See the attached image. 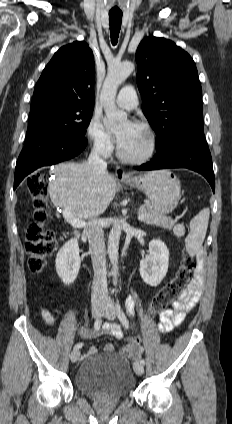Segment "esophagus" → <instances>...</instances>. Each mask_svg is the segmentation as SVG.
Returning a JSON list of instances; mask_svg holds the SVG:
<instances>
[{
    "mask_svg": "<svg viewBox=\"0 0 232 424\" xmlns=\"http://www.w3.org/2000/svg\"><path fill=\"white\" fill-rule=\"evenodd\" d=\"M115 176L117 179H129L131 178L129 174H127L121 166L116 167Z\"/></svg>",
    "mask_w": 232,
    "mask_h": 424,
    "instance_id": "1",
    "label": "esophagus"
}]
</instances>
